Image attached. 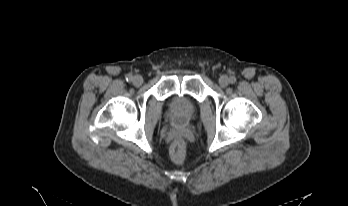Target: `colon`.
<instances>
[{"label":"colon","instance_id":"obj_1","mask_svg":"<svg viewBox=\"0 0 348 206\" xmlns=\"http://www.w3.org/2000/svg\"><path fill=\"white\" fill-rule=\"evenodd\" d=\"M171 156L172 159L177 162L181 163L184 160L185 157V149L183 142L181 140H176L172 146H171Z\"/></svg>","mask_w":348,"mask_h":206}]
</instances>
